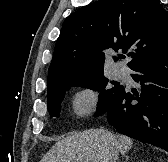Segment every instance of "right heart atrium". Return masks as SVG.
Returning <instances> with one entry per match:
<instances>
[{
	"label": "right heart atrium",
	"mask_w": 168,
	"mask_h": 162,
	"mask_svg": "<svg viewBox=\"0 0 168 162\" xmlns=\"http://www.w3.org/2000/svg\"><path fill=\"white\" fill-rule=\"evenodd\" d=\"M96 107V96L90 89L79 91L73 99V108L77 114H89Z\"/></svg>",
	"instance_id": "obj_1"
}]
</instances>
